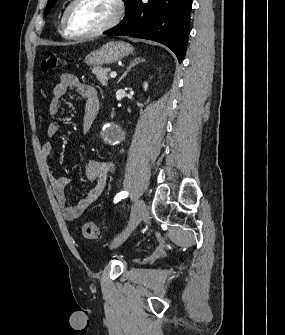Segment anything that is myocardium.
<instances>
[{
	"label": "myocardium",
	"mask_w": 285,
	"mask_h": 335,
	"mask_svg": "<svg viewBox=\"0 0 285 335\" xmlns=\"http://www.w3.org/2000/svg\"><path fill=\"white\" fill-rule=\"evenodd\" d=\"M85 1H72L68 11H67V21H68V31L69 36L72 38H92L103 34L108 31L112 27H114L122 18L124 13L123 1H108L113 7V15L110 20L105 23L102 27L91 30V31H83L76 28L74 25V13L78 4Z\"/></svg>",
	"instance_id": "f54148a6"
}]
</instances>
